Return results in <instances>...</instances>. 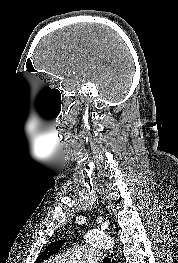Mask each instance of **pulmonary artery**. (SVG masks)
<instances>
[{
	"label": "pulmonary artery",
	"mask_w": 178,
	"mask_h": 263,
	"mask_svg": "<svg viewBox=\"0 0 178 263\" xmlns=\"http://www.w3.org/2000/svg\"><path fill=\"white\" fill-rule=\"evenodd\" d=\"M98 259V250L89 246L69 249L56 257L59 263H97Z\"/></svg>",
	"instance_id": "e3ab8cb5"
}]
</instances>
